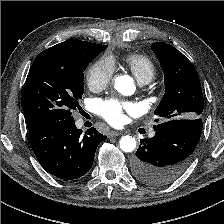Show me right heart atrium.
<instances>
[{
  "label": "right heart atrium",
  "instance_id": "obj_1",
  "mask_svg": "<svg viewBox=\"0 0 224 224\" xmlns=\"http://www.w3.org/2000/svg\"><path fill=\"white\" fill-rule=\"evenodd\" d=\"M114 75L112 59H100L90 65L86 73V82L93 91L105 89Z\"/></svg>",
  "mask_w": 224,
  "mask_h": 224
}]
</instances>
